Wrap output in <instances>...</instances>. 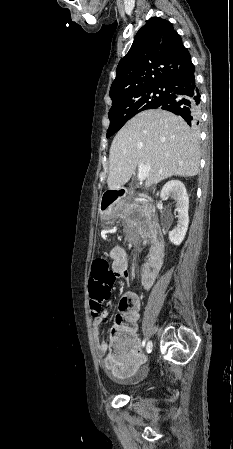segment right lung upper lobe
<instances>
[{"mask_svg": "<svg viewBox=\"0 0 233 449\" xmlns=\"http://www.w3.org/2000/svg\"><path fill=\"white\" fill-rule=\"evenodd\" d=\"M192 70L190 53L172 23L152 17L120 60L109 94L114 99L150 85L168 84Z\"/></svg>", "mask_w": 233, "mask_h": 449, "instance_id": "obj_1", "label": "right lung upper lobe"}]
</instances>
